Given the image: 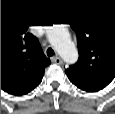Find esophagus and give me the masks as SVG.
<instances>
[{
    "label": "esophagus",
    "mask_w": 115,
    "mask_h": 114,
    "mask_svg": "<svg viewBox=\"0 0 115 114\" xmlns=\"http://www.w3.org/2000/svg\"><path fill=\"white\" fill-rule=\"evenodd\" d=\"M51 60L53 63L58 64V65L63 63V61L60 57H53Z\"/></svg>",
    "instance_id": "1"
}]
</instances>
